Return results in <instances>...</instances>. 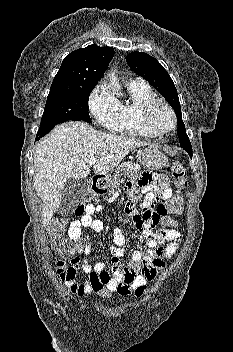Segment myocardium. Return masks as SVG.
Masks as SVG:
<instances>
[{
	"label": "myocardium",
	"instance_id": "myocardium-1",
	"mask_svg": "<svg viewBox=\"0 0 233 352\" xmlns=\"http://www.w3.org/2000/svg\"><path fill=\"white\" fill-rule=\"evenodd\" d=\"M157 106L164 107L171 117V126L163 131H155L151 124V115L153 110ZM139 122L143 130L148 134L149 137L153 138H160L168 133L172 132L176 127V115L172 107L164 100L153 98L147 101L143 106L140 108L139 112Z\"/></svg>",
	"mask_w": 233,
	"mask_h": 352
}]
</instances>
